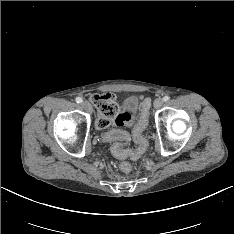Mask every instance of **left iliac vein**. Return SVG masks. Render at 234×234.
Returning <instances> with one entry per match:
<instances>
[{
	"label": "left iliac vein",
	"instance_id": "1",
	"mask_svg": "<svg viewBox=\"0 0 234 234\" xmlns=\"http://www.w3.org/2000/svg\"><path fill=\"white\" fill-rule=\"evenodd\" d=\"M163 106V99L162 98H157V99H155V101H154V107L156 108V109H159V108H161Z\"/></svg>",
	"mask_w": 234,
	"mask_h": 234
}]
</instances>
